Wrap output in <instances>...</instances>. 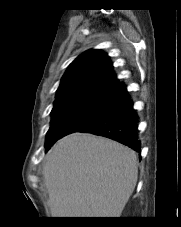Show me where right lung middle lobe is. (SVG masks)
<instances>
[{
  "label": "right lung middle lobe",
  "mask_w": 181,
  "mask_h": 227,
  "mask_svg": "<svg viewBox=\"0 0 181 227\" xmlns=\"http://www.w3.org/2000/svg\"><path fill=\"white\" fill-rule=\"evenodd\" d=\"M111 93L112 91H96L56 100L51 112L52 120L46 144L55 143L68 128L97 111L108 100Z\"/></svg>",
  "instance_id": "obj_1"
}]
</instances>
